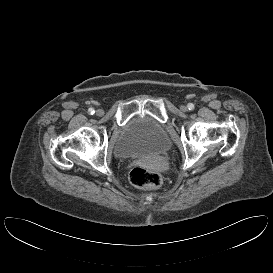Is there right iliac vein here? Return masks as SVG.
Returning a JSON list of instances; mask_svg holds the SVG:
<instances>
[{
  "mask_svg": "<svg viewBox=\"0 0 273 273\" xmlns=\"http://www.w3.org/2000/svg\"><path fill=\"white\" fill-rule=\"evenodd\" d=\"M96 114H97L98 116H102V115L104 114V111H103L102 109H98V110L96 111Z\"/></svg>",
  "mask_w": 273,
  "mask_h": 273,
  "instance_id": "obj_1",
  "label": "right iliac vein"
}]
</instances>
